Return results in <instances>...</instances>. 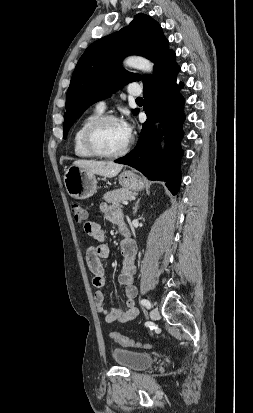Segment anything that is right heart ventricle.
Wrapping results in <instances>:
<instances>
[{
	"instance_id": "right-heart-ventricle-1",
	"label": "right heart ventricle",
	"mask_w": 253,
	"mask_h": 413,
	"mask_svg": "<svg viewBox=\"0 0 253 413\" xmlns=\"http://www.w3.org/2000/svg\"><path fill=\"white\" fill-rule=\"evenodd\" d=\"M102 112L99 110H94L93 112L89 113L85 117H83L80 122L77 124L73 137H72V144H73V151L76 156L80 158H92L93 155L87 151L83 144V133L85 128L97 117L101 116Z\"/></svg>"
}]
</instances>
